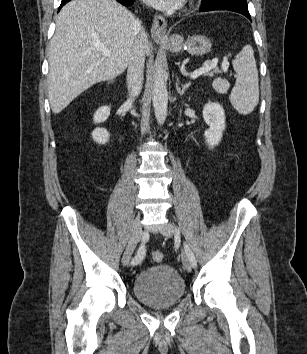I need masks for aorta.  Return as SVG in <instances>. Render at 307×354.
Listing matches in <instances>:
<instances>
[{"label": "aorta", "mask_w": 307, "mask_h": 354, "mask_svg": "<svg viewBox=\"0 0 307 354\" xmlns=\"http://www.w3.org/2000/svg\"><path fill=\"white\" fill-rule=\"evenodd\" d=\"M167 77L164 66L161 62L156 64L153 86V107L158 124L162 125L167 117L168 91L165 84Z\"/></svg>", "instance_id": "762f6f07"}]
</instances>
